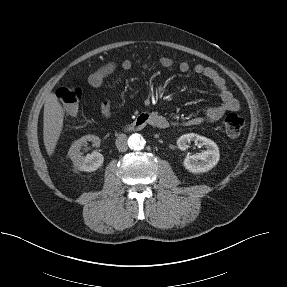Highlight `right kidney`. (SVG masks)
Wrapping results in <instances>:
<instances>
[{
    "mask_svg": "<svg viewBox=\"0 0 287 287\" xmlns=\"http://www.w3.org/2000/svg\"><path fill=\"white\" fill-rule=\"evenodd\" d=\"M91 141L94 146H100V139L95 135H86L74 141L71 145L68 155L72 160L74 167L80 171L93 172L103 165L104 157L101 153L94 151L91 154L83 156L80 152L82 146Z\"/></svg>",
    "mask_w": 287,
    "mask_h": 287,
    "instance_id": "1",
    "label": "right kidney"
}]
</instances>
